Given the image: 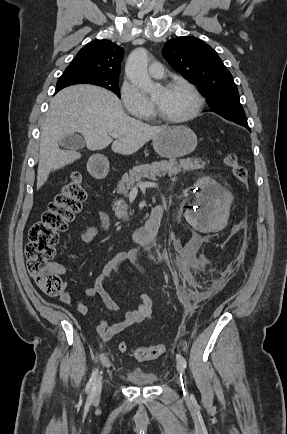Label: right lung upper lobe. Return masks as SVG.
Masks as SVG:
<instances>
[{"instance_id": "obj_1", "label": "right lung upper lobe", "mask_w": 287, "mask_h": 434, "mask_svg": "<svg viewBox=\"0 0 287 434\" xmlns=\"http://www.w3.org/2000/svg\"><path fill=\"white\" fill-rule=\"evenodd\" d=\"M124 50L110 40H96L83 47L66 68L98 77H119ZM62 88L57 87L56 92Z\"/></svg>"}]
</instances>
